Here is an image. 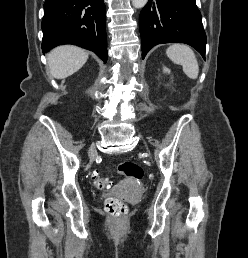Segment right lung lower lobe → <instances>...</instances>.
Returning <instances> with one entry per match:
<instances>
[{
  "label": "right lung lower lobe",
  "mask_w": 248,
  "mask_h": 258,
  "mask_svg": "<svg viewBox=\"0 0 248 258\" xmlns=\"http://www.w3.org/2000/svg\"><path fill=\"white\" fill-rule=\"evenodd\" d=\"M104 0H46L42 20L43 53L61 44L93 51L107 61Z\"/></svg>",
  "instance_id": "98d812e1"
}]
</instances>
